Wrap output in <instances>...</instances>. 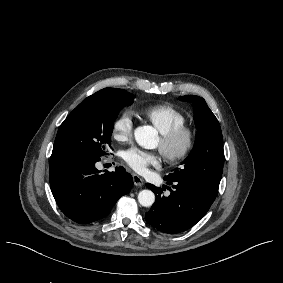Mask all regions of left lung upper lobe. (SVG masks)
I'll return each mask as SVG.
<instances>
[{
	"label": "left lung upper lobe",
	"mask_w": 283,
	"mask_h": 283,
	"mask_svg": "<svg viewBox=\"0 0 283 283\" xmlns=\"http://www.w3.org/2000/svg\"><path fill=\"white\" fill-rule=\"evenodd\" d=\"M182 101L194 106V121L197 134L189 156L166 176L172 182H184L203 195L216 198L224 164L223 137L221 127L205 100L199 96H182Z\"/></svg>",
	"instance_id": "5c2ea615"
}]
</instances>
